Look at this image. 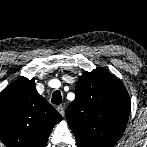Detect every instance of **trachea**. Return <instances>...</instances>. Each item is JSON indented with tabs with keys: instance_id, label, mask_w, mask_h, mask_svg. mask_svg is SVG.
<instances>
[{
	"instance_id": "obj_1",
	"label": "trachea",
	"mask_w": 147,
	"mask_h": 147,
	"mask_svg": "<svg viewBox=\"0 0 147 147\" xmlns=\"http://www.w3.org/2000/svg\"><path fill=\"white\" fill-rule=\"evenodd\" d=\"M51 102L53 104H61L62 103V96H61V93L60 91H55L53 94H52V100Z\"/></svg>"
}]
</instances>
